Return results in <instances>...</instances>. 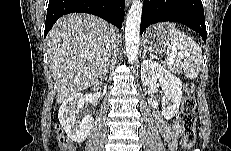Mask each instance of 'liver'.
Returning a JSON list of instances; mask_svg holds the SVG:
<instances>
[{
	"label": "liver",
	"instance_id": "obj_1",
	"mask_svg": "<svg viewBox=\"0 0 231 151\" xmlns=\"http://www.w3.org/2000/svg\"><path fill=\"white\" fill-rule=\"evenodd\" d=\"M115 28L90 14L60 18L46 37L57 103L95 85L104 75Z\"/></svg>",
	"mask_w": 231,
	"mask_h": 151
}]
</instances>
